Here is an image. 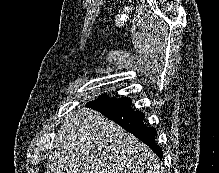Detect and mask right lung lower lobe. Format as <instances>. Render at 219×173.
Segmentation results:
<instances>
[{
  "instance_id": "98d812e1",
  "label": "right lung lower lobe",
  "mask_w": 219,
  "mask_h": 173,
  "mask_svg": "<svg viewBox=\"0 0 219 173\" xmlns=\"http://www.w3.org/2000/svg\"><path fill=\"white\" fill-rule=\"evenodd\" d=\"M87 107L101 112L109 119L118 123L125 130L147 144L159 158H162V149L155 143V129L143 124L144 113L132 109L130 98L121 97L114 99L100 96L98 99L90 101Z\"/></svg>"
}]
</instances>
